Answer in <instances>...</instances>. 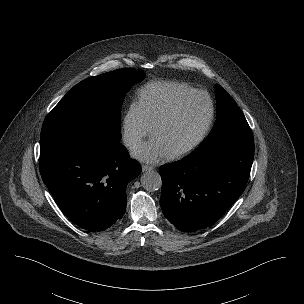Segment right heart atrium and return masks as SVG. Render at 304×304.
I'll list each match as a JSON object with an SVG mask.
<instances>
[{"label":"right heart atrium","instance_id":"right-heart-atrium-1","mask_svg":"<svg viewBox=\"0 0 304 304\" xmlns=\"http://www.w3.org/2000/svg\"><path fill=\"white\" fill-rule=\"evenodd\" d=\"M121 131L123 141L129 149L138 147L150 134L151 127L144 118L137 101H132L125 111Z\"/></svg>","mask_w":304,"mask_h":304}]
</instances>
